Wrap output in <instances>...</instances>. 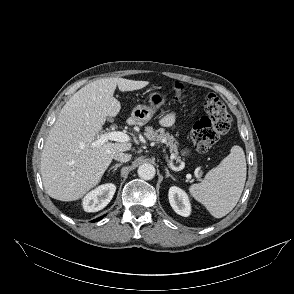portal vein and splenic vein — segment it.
Returning a JSON list of instances; mask_svg holds the SVG:
<instances>
[{
    "mask_svg": "<svg viewBox=\"0 0 294 294\" xmlns=\"http://www.w3.org/2000/svg\"><path fill=\"white\" fill-rule=\"evenodd\" d=\"M128 142L130 137L120 131L100 132L97 140L93 143L94 146H100L107 141Z\"/></svg>",
    "mask_w": 294,
    "mask_h": 294,
    "instance_id": "obj_1",
    "label": "portal vein and splenic vein"
}]
</instances>
